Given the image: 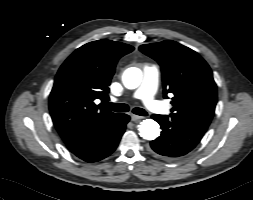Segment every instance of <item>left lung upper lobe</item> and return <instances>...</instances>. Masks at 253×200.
I'll return each mask as SVG.
<instances>
[{
    "label": "left lung upper lobe",
    "mask_w": 253,
    "mask_h": 200,
    "mask_svg": "<svg viewBox=\"0 0 253 200\" xmlns=\"http://www.w3.org/2000/svg\"><path fill=\"white\" fill-rule=\"evenodd\" d=\"M139 49L161 66L164 97L168 98V93L174 96L171 114L209 126L217 103V90L204 59L172 40L141 45Z\"/></svg>",
    "instance_id": "1"
}]
</instances>
